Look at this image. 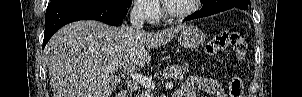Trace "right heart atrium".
Wrapping results in <instances>:
<instances>
[{
	"label": "right heart atrium",
	"mask_w": 302,
	"mask_h": 97,
	"mask_svg": "<svg viewBox=\"0 0 302 97\" xmlns=\"http://www.w3.org/2000/svg\"><path fill=\"white\" fill-rule=\"evenodd\" d=\"M136 10L138 15L149 23H156L162 18L161 9L157 0L137 1Z\"/></svg>",
	"instance_id": "d8ad5b80"
}]
</instances>
